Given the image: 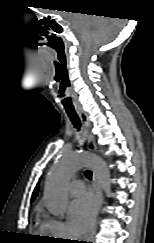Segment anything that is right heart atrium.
<instances>
[{
    "mask_svg": "<svg viewBox=\"0 0 154 243\" xmlns=\"http://www.w3.org/2000/svg\"><path fill=\"white\" fill-rule=\"evenodd\" d=\"M46 227L50 235L55 238H70L71 234L66 226V224L58 218L55 217H46Z\"/></svg>",
    "mask_w": 154,
    "mask_h": 243,
    "instance_id": "1",
    "label": "right heart atrium"
}]
</instances>
